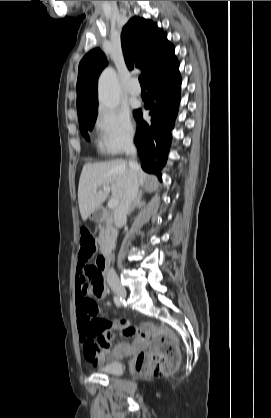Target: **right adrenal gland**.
<instances>
[{
	"label": "right adrenal gland",
	"mask_w": 271,
	"mask_h": 418,
	"mask_svg": "<svg viewBox=\"0 0 271 418\" xmlns=\"http://www.w3.org/2000/svg\"><path fill=\"white\" fill-rule=\"evenodd\" d=\"M144 205H145V201H142V191H140L138 195L136 196L132 206L130 207L128 211V215H130L132 211H134L136 208H142Z\"/></svg>",
	"instance_id": "obj_1"
}]
</instances>
